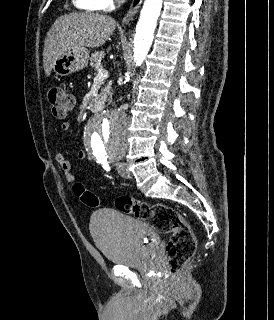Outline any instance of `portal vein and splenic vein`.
<instances>
[{"label": "portal vein and splenic vein", "instance_id": "18ae733b", "mask_svg": "<svg viewBox=\"0 0 274 320\" xmlns=\"http://www.w3.org/2000/svg\"><path fill=\"white\" fill-rule=\"evenodd\" d=\"M98 74L96 76V78H107L108 76V72L107 70H103V68H99V70H97Z\"/></svg>", "mask_w": 274, "mask_h": 320}]
</instances>
